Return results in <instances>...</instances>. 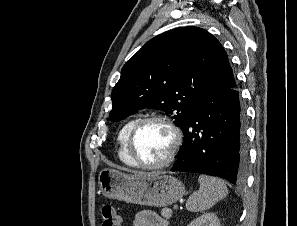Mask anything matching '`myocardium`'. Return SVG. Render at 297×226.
<instances>
[{"mask_svg": "<svg viewBox=\"0 0 297 226\" xmlns=\"http://www.w3.org/2000/svg\"><path fill=\"white\" fill-rule=\"evenodd\" d=\"M160 122L164 124L172 133L173 141L167 156L160 162L146 164L142 162L134 150V140L139 129L146 123ZM183 143V133L177 123L170 117L161 114H152L138 119L129 131L127 138V151L135 165L142 169L156 170L169 166L176 158Z\"/></svg>", "mask_w": 297, "mask_h": 226, "instance_id": "obj_1", "label": "myocardium"}]
</instances>
